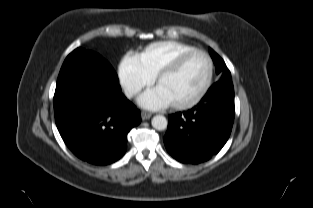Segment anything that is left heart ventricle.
<instances>
[{
  "label": "left heart ventricle",
  "instance_id": "1",
  "mask_svg": "<svg viewBox=\"0 0 313 208\" xmlns=\"http://www.w3.org/2000/svg\"><path fill=\"white\" fill-rule=\"evenodd\" d=\"M208 75V62L201 54L188 58L173 74L162 79L156 88L170 104L193 99L202 89Z\"/></svg>",
  "mask_w": 313,
  "mask_h": 208
}]
</instances>
